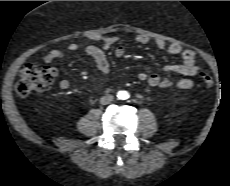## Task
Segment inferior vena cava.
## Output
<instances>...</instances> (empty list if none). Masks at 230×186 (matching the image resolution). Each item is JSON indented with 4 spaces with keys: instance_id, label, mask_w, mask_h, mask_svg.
<instances>
[{
    "instance_id": "inferior-vena-cava-1",
    "label": "inferior vena cava",
    "mask_w": 230,
    "mask_h": 186,
    "mask_svg": "<svg viewBox=\"0 0 230 186\" xmlns=\"http://www.w3.org/2000/svg\"><path fill=\"white\" fill-rule=\"evenodd\" d=\"M113 99H114V96H113V95H111V94H106V95H104L103 97H101L100 103H101L102 105H107V104L111 103V102L113 101Z\"/></svg>"
}]
</instances>
